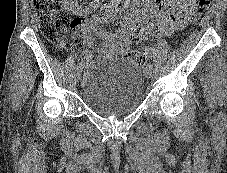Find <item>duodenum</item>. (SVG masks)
<instances>
[{
  "label": "duodenum",
  "mask_w": 227,
  "mask_h": 173,
  "mask_svg": "<svg viewBox=\"0 0 227 173\" xmlns=\"http://www.w3.org/2000/svg\"><path fill=\"white\" fill-rule=\"evenodd\" d=\"M129 1H130L129 4H131L132 1L134 0H129ZM104 14L107 16V18H113L118 14V10H113L111 9V7H106L104 9Z\"/></svg>",
  "instance_id": "410a0bca"
}]
</instances>
